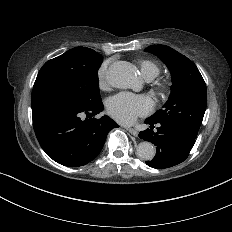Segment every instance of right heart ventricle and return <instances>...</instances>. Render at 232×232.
I'll list each match as a JSON object with an SVG mask.
<instances>
[{"instance_id":"obj_1","label":"right heart ventricle","mask_w":232,"mask_h":232,"mask_svg":"<svg viewBox=\"0 0 232 232\" xmlns=\"http://www.w3.org/2000/svg\"><path fill=\"white\" fill-rule=\"evenodd\" d=\"M140 74L146 81H152L160 74V68L154 61L143 59L140 61Z\"/></svg>"}]
</instances>
